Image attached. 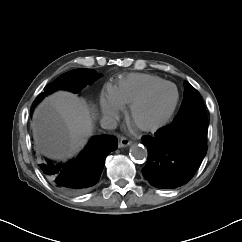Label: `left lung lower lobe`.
<instances>
[{
	"label": "left lung lower lobe",
	"mask_w": 242,
	"mask_h": 242,
	"mask_svg": "<svg viewBox=\"0 0 242 242\" xmlns=\"http://www.w3.org/2000/svg\"><path fill=\"white\" fill-rule=\"evenodd\" d=\"M207 124H194L172 132L164 127L142 137L148 148L144 177L156 188H176L195 174L207 152Z\"/></svg>",
	"instance_id": "1"
}]
</instances>
